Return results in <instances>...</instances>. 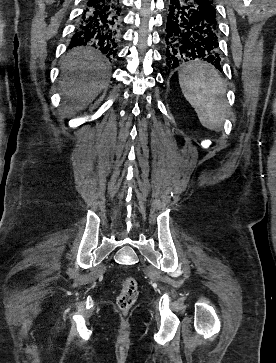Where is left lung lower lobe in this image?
<instances>
[{
    "instance_id": "0a47b994",
    "label": "left lung lower lobe",
    "mask_w": 276,
    "mask_h": 363,
    "mask_svg": "<svg viewBox=\"0 0 276 363\" xmlns=\"http://www.w3.org/2000/svg\"><path fill=\"white\" fill-rule=\"evenodd\" d=\"M168 11L164 40L167 74L193 60L222 71L215 7L208 0H169Z\"/></svg>"
}]
</instances>
